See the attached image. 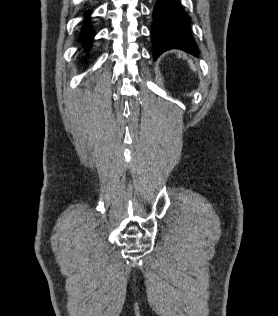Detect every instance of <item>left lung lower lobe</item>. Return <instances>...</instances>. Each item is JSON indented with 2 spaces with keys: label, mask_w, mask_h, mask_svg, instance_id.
Here are the masks:
<instances>
[{
  "label": "left lung lower lobe",
  "mask_w": 278,
  "mask_h": 316,
  "mask_svg": "<svg viewBox=\"0 0 278 316\" xmlns=\"http://www.w3.org/2000/svg\"><path fill=\"white\" fill-rule=\"evenodd\" d=\"M152 42L154 58L170 49L197 55L191 35L190 18L179 0H157L153 9Z\"/></svg>",
  "instance_id": "0a47b994"
}]
</instances>
